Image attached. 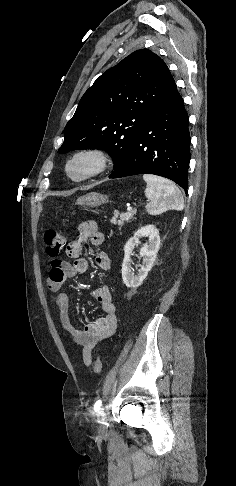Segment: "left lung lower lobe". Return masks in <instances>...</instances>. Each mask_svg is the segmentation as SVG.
Masks as SVG:
<instances>
[{
	"label": "left lung lower lobe",
	"mask_w": 236,
	"mask_h": 486,
	"mask_svg": "<svg viewBox=\"0 0 236 486\" xmlns=\"http://www.w3.org/2000/svg\"><path fill=\"white\" fill-rule=\"evenodd\" d=\"M189 117L177 88L133 140L109 178L154 174L173 180L187 193L190 161Z\"/></svg>",
	"instance_id": "obj_1"
}]
</instances>
